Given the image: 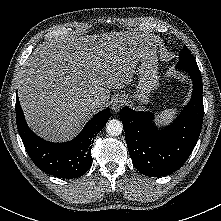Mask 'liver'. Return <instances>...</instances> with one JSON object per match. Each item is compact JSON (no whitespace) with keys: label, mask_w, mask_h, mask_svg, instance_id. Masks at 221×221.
Masks as SVG:
<instances>
[{"label":"liver","mask_w":221,"mask_h":221,"mask_svg":"<svg viewBox=\"0 0 221 221\" xmlns=\"http://www.w3.org/2000/svg\"><path fill=\"white\" fill-rule=\"evenodd\" d=\"M149 37L128 32L68 36L40 44L25 62L18 96L28 125L51 141L73 138L124 88L140 58L156 53ZM99 98L101 106L90 101Z\"/></svg>","instance_id":"obj_1"}]
</instances>
